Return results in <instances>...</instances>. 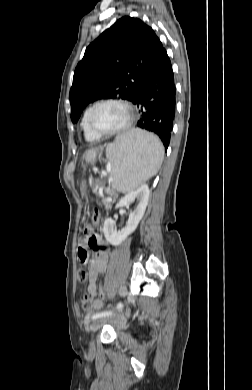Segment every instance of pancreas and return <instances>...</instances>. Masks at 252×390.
<instances>
[{
	"instance_id": "obj_1",
	"label": "pancreas",
	"mask_w": 252,
	"mask_h": 390,
	"mask_svg": "<svg viewBox=\"0 0 252 390\" xmlns=\"http://www.w3.org/2000/svg\"><path fill=\"white\" fill-rule=\"evenodd\" d=\"M102 205H103L106 209H110V208H111V202H104L103 198H102Z\"/></svg>"
}]
</instances>
